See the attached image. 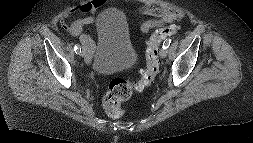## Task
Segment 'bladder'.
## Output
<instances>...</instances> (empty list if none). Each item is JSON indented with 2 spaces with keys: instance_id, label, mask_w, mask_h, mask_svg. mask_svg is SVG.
<instances>
[{
  "instance_id": "31cf9c89",
  "label": "bladder",
  "mask_w": 253,
  "mask_h": 143,
  "mask_svg": "<svg viewBox=\"0 0 253 143\" xmlns=\"http://www.w3.org/2000/svg\"><path fill=\"white\" fill-rule=\"evenodd\" d=\"M97 40L91 69L108 74L129 68L138 57V49L131 41L123 10L118 7L104 9L96 18Z\"/></svg>"
}]
</instances>
